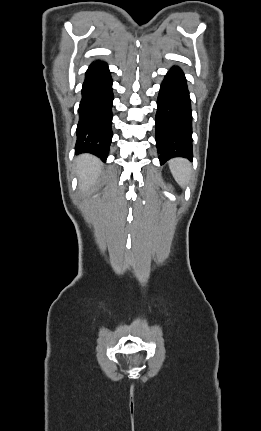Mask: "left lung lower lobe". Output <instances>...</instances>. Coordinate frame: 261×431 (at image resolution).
<instances>
[{
  "instance_id": "left-lung-lower-lobe-1",
  "label": "left lung lower lobe",
  "mask_w": 261,
  "mask_h": 431,
  "mask_svg": "<svg viewBox=\"0 0 261 431\" xmlns=\"http://www.w3.org/2000/svg\"><path fill=\"white\" fill-rule=\"evenodd\" d=\"M155 129L161 163L174 157L192 160L191 101L186 78L178 67L172 68L161 84Z\"/></svg>"
}]
</instances>
